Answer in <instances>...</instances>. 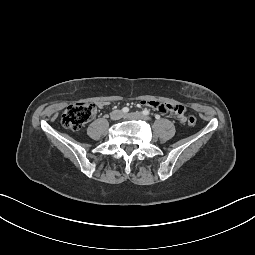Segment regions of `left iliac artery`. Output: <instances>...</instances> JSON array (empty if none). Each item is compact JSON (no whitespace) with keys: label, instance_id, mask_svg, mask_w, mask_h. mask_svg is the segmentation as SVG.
<instances>
[{"label":"left iliac artery","instance_id":"1","mask_svg":"<svg viewBox=\"0 0 255 255\" xmlns=\"http://www.w3.org/2000/svg\"><path fill=\"white\" fill-rule=\"evenodd\" d=\"M142 113H143L144 115H149V114H150L149 110H147V109L143 110Z\"/></svg>","mask_w":255,"mask_h":255}]
</instances>
